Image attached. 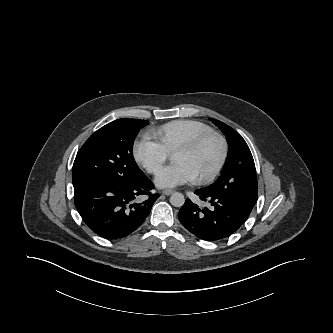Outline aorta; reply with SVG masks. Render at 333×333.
Masks as SVG:
<instances>
[{"label": "aorta", "instance_id": "762f6f07", "mask_svg": "<svg viewBox=\"0 0 333 333\" xmlns=\"http://www.w3.org/2000/svg\"><path fill=\"white\" fill-rule=\"evenodd\" d=\"M170 203L174 207H181L185 203V198L182 193L175 192L170 197Z\"/></svg>", "mask_w": 333, "mask_h": 333}]
</instances>
